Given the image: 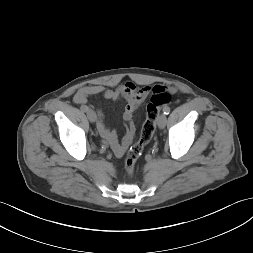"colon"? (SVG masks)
Listing matches in <instances>:
<instances>
[{
	"instance_id": "colon-1",
	"label": "colon",
	"mask_w": 253,
	"mask_h": 253,
	"mask_svg": "<svg viewBox=\"0 0 253 253\" xmlns=\"http://www.w3.org/2000/svg\"><path fill=\"white\" fill-rule=\"evenodd\" d=\"M170 99V89L164 86L154 87L150 102L147 105L146 119L142 125L139 140L129 149L124 160L125 170L128 175H133L139 156L154 135L159 112L162 107L170 102Z\"/></svg>"
}]
</instances>
